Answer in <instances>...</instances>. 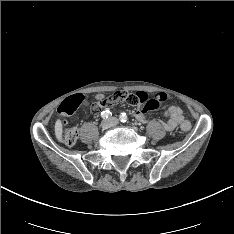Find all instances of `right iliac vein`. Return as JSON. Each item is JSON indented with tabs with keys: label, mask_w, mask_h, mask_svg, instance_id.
Segmentation results:
<instances>
[{
	"label": "right iliac vein",
	"mask_w": 234,
	"mask_h": 234,
	"mask_svg": "<svg viewBox=\"0 0 234 234\" xmlns=\"http://www.w3.org/2000/svg\"><path fill=\"white\" fill-rule=\"evenodd\" d=\"M111 124H112V123H111L110 120H104V121L102 122L101 126H102L103 129H108V128L111 127Z\"/></svg>",
	"instance_id": "obj_1"
}]
</instances>
